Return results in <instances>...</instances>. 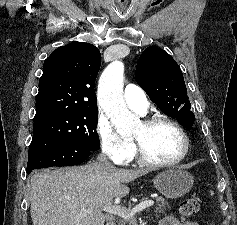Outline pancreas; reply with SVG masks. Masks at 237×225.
Listing matches in <instances>:
<instances>
[{"instance_id": "1", "label": "pancreas", "mask_w": 237, "mask_h": 225, "mask_svg": "<svg viewBox=\"0 0 237 225\" xmlns=\"http://www.w3.org/2000/svg\"><path fill=\"white\" fill-rule=\"evenodd\" d=\"M155 200H156V204L158 206L156 208V212L165 213L166 210L170 209V205H169L168 201H166L164 198L157 197ZM133 221H134V218H122L121 217L118 219V225H131Z\"/></svg>"}]
</instances>
